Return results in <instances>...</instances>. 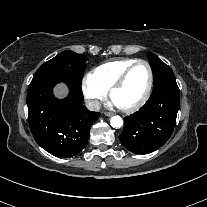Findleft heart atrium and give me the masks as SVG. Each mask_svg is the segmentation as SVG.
Listing matches in <instances>:
<instances>
[{
    "label": "left heart atrium",
    "instance_id": "left-heart-atrium-1",
    "mask_svg": "<svg viewBox=\"0 0 207 207\" xmlns=\"http://www.w3.org/2000/svg\"><path fill=\"white\" fill-rule=\"evenodd\" d=\"M111 104L117 106L113 101H111Z\"/></svg>",
    "mask_w": 207,
    "mask_h": 207
}]
</instances>
